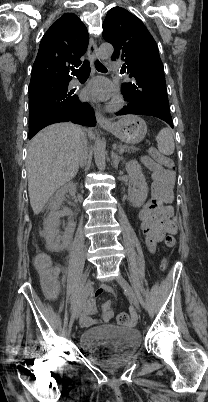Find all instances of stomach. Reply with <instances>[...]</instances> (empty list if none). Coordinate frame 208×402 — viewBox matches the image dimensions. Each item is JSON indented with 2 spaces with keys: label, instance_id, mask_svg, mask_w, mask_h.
Instances as JSON below:
<instances>
[{
  "label": "stomach",
  "instance_id": "obj_1",
  "mask_svg": "<svg viewBox=\"0 0 208 402\" xmlns=\"http://www.w3.org/2000/svg\"><path fill=\"white\" fill-rule=\"evenodd\" d=\"M106 130L114 134L124 144H130V146L142 142L147 134V126L144 120L138 118V116H121L118 122H115Z\"/></svg>",
  "mask_w": 208,
  "mask_h": 402
}]
</instances>
